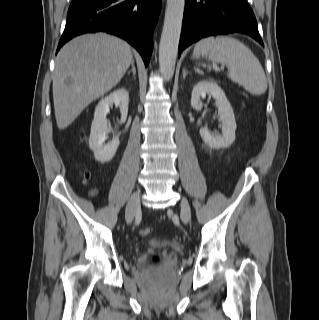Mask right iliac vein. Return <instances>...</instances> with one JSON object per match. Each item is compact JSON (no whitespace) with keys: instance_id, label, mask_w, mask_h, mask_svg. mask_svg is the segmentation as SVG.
I'll return each mask as SVG.
<instances>
[{"instance_id":"1","label":"right iliac vein","mask_w":319,"mask_h":320,"mask_svg":"<svg viewBox=\"0 0 319 320\" xmlns=\"http://www.w3.org/2000/svg\"><path fill=\"white\" fill-rule=\"evenodd\" d=\"M140 208V192H135L132 194L128 200L126 206V220L128 224H131L135 214Z\"/></svg>"}]
</instances>
